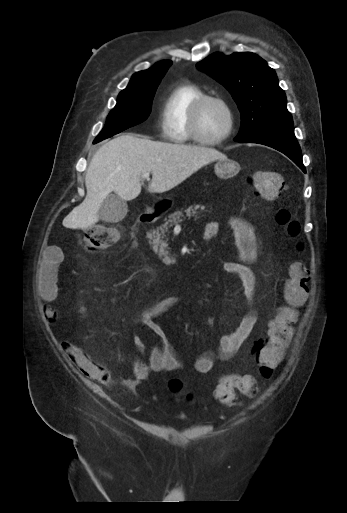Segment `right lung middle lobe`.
Segmentation results:
<instances>
[{"mask_svg":"<svg viewBox=\"0 0 347 513\" xmlns=\"http://www.w3.org/2000/svg\"><path fill=\"white\" fill-rule=\"evenodd\" d=\"M160 81L134 90H123L117 104L108 115L106 124L94 143L143 122L149 116L156 89Z\"/></svg>","mask_w":347,"mask_h":513,"instance_id":"obj_1","label":"right lung middle lobe"}]
</instances>
